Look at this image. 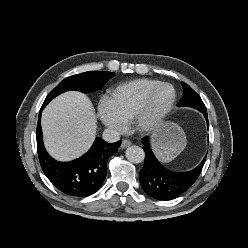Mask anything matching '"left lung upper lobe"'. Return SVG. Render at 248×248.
<instances>
[{
  "instance_id": "5c2ea615",
  "label": "left lung upper lobe",
  "mask_w": 248,
  "mask_h": 248,
  "mask_svg": "<svg viewBox=\"0 0 248 248\" xmlns=\"http://www.w3.org/2000/svg\"><path fill=\"white\" fill-rule=\"evenodd\" d=\"M183 85V96L178 103V106H188L193 107L197 110H206V107L200 98V96L186 83H182Z\"/></svg>"
}]
</instances>
